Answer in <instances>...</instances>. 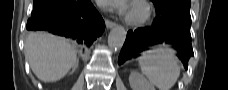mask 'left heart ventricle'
Returning a JSON list of instances; mask_svg holds the SVG:
<instances>
[{
  "instance_id": "left-heart-ventricle-1",
  "label": "left heart ventricle",
  "mask_w": 228,
  "mask_h": 90,
  "mask_svg": "<svg viewBox=\"0 0 228 90\" xmlns=\"http://www.w3.org/2000/svg\"><path fill=\"white\" fill-rule=\"evenodd\" d=\"M129 13L134 16V17H137V16H140L141 15V9L138 8V7H132L130 10H129Z\"/></svg>"
}]
</instances>
